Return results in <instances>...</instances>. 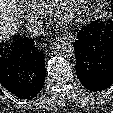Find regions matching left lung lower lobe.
<instances>
[{
    "instance_id": "left-lung-lower-lobe-1",
    "label": "left lung lower lobe",
    "mask_w": 113,
    "mask_h": 113,
    "mask_svg": "<svg viewBox=\"0 0 113 113\" xmlns=\"http://www.w3.org/2000/svg\"><path fill=\"white\" fill-rule=\"evenodd\" d=\"M76 75L91 91L113 84V21L95 20L81 28L74 42Z\"/></svg>"
}]
</instances>
